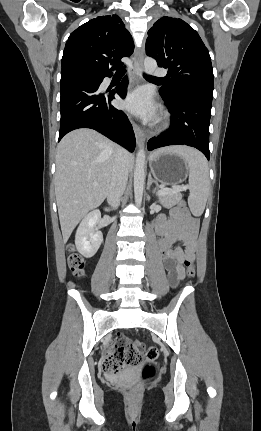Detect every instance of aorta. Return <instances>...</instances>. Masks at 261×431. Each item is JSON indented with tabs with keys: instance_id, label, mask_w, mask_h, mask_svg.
<instances>
[{
	"instance_id": "1",
	"label": "aorta",
	"mask_w": 261,
	"mask_h": 431,
	"mask_svg": "<svg viewBox=\"0 0 261 431\" xmlns=\"http://www.w3.org/2000/svg\"><path fill=\"white\" fill-rule=\"evenodd\" d=\"M157 68V63L153 58L147 57L144 61V70L147 74L152 75ZM145 180V150L141 146L137 156L134 170V193L135 202L138 206L141 205L143 196V187Z\"/></svg>"
}]
</instances>
